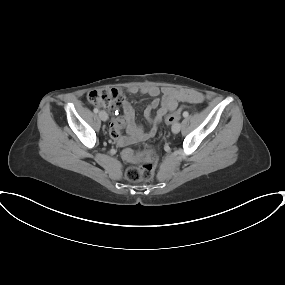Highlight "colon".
<instances>
[{
  "mask_svg": "<svg viewBox=\"0 0 285 285\" xmlns=\"http://www.w3.org/2000/svg\"><path fill=\"white\" fill-rule=\"evenodd\" d=\"M88 100L91 104L103 107L109 111L114 110L119 104V95L114 90H95L88 94ZM182 109L169 115L166 118L167 123H173L180 118ZM122 156L129 162L136 163L126 170V178L132 182L148 181L154 175L157 163V153L150 148L123 150Z\"/></svg>",
  "mask_w": 285,
  "mask_h": 285,
  "instance_id": "obj_1",
  "label": "colon"
}]
</instances>
